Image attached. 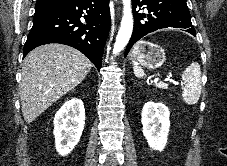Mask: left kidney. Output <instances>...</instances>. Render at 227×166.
<instances>
[{"instance_id": "left-kidney-1", "label": "left kidney", "mask_w": 227, "mask_h": 166, "mask_svg": "<svg viewBox=\"0 0 227 166\" xmlns=\"http://www.w3.org/2000/svg\"><path fill=\"white\" fill-rule=\"evenodd\" d=\"M169 118L170 112L163 103H145L141 114L143 134L153 150L164 149L170 128Z\"/></svg>"}]
</instances>
